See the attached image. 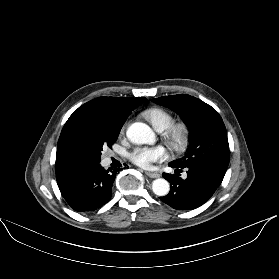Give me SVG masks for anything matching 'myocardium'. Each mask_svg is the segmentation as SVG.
I'll use <instances>...</instances> for the list:
<instances>
[{
    "label": "myocardium",
    "instance_id": "1",
    "mask_svg": "<svg viewBox=\"0 0 279 279\" xmlns=\"http://www.w3.org/2000/svg\"><path fill=\"white\" fill-rule=\"evenodd\" d=\"M190 135V127L185 122H173L162 133L166 144L176 153H181L187 148Z\"/></svg>",
    "mask_w": 279,
    "mask_h": 279
}]
</instances>
